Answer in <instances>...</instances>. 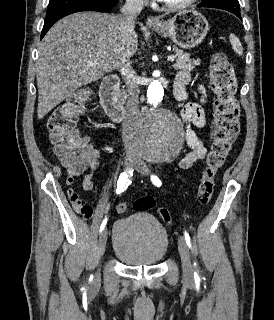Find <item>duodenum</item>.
I'll return each mask as SVG.
<instances>
[{
	"label": "duodenum",
	"mask_w": 274,
	"mask_h": 320,
	"mask_svg": "<svg viewBox=\"0 0 274 320\" xmlns=\"http://www.w3.org/2000/svg\"><path fill=\"white\" fill-rule=\"evenodd\" d=\"M119 85L120 78L113 75L107 77L100 88L101 104L106 113L117 122L122 121L126 116L125 108L118 96Z\"/></svg>",
	"instance_id": "410a0bca"
}]
</instances>
